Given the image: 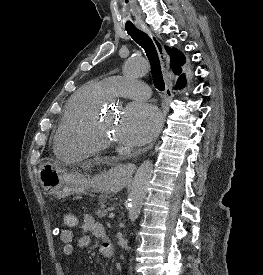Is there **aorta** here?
Instances as JSON below:
<instances>
[{"label": "aorta", "instance_id": "762f6f07", "mask_svg": "<svg viewBox=\"0 0 263 275\" xmlns=\"http://www.w3.org/2000/svg\"><path fill=\"white\" fill-rule=\"evenodd\" d=\"M147 72L148 65L141 58L131 57L127 59L124 64V73L126 76L139 77ZM152 174L153 163L150 160L144 161L137 169L129 195L128 214L132 223L135 222L140 215Z\"/></svg>", "mask_w": 263, "mask_h": 275}]
</instances>
